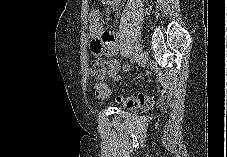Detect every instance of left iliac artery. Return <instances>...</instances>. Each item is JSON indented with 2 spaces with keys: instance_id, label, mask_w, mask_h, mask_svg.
Returning <instances> with one entry per match:
<instances>
[{
  "instance_id": "left-iliac-artery-1",
  "label": "left iliac artery",
  "mask_w": 227,
  "mask_h": 157,
  "mask_svg": "<svg viewBox=\"0 0 227 157\" xmlns=\"http://www.w3.org/2000/svg\"><path fill=\"white\" fill-rule=\"evenodd\" d=\"M139 42V41H138ZM142 50V45L140 43L136 44L134 47L133 57L136 58Z\"/></svg>"
}]
</instances>
